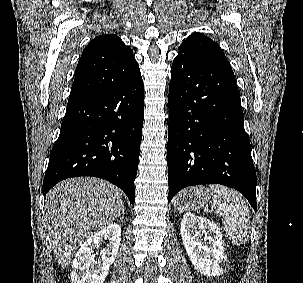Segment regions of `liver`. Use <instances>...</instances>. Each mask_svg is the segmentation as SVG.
Instances as JSON below:
<instances>
[{"label": "liver", "instance_id": "6515ba94", "mask_svg": "<svg viewBox=\"0 0 303 283\" xmlns=\"http://www.w3.org/2000/svg\"><path fill=\"white\" fill-rule=\"evenodd\" d=\"M123 209V192L98 178H72L53 187L46 195L45 216L61 268L68 267L77 249L112 224Z\"/></svg>", "mask_w": 303, "mask_h": 283}]
</instances>
